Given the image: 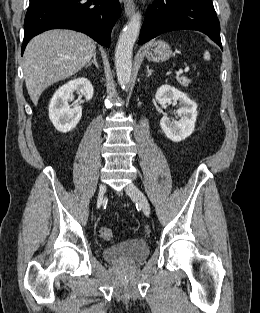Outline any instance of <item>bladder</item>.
<instances>
[{
  "mask_svg": "<svg viewBox=\"0 0 260 313\" xmlns=\"http://www.w3.org/2000/svg\"><path fill=\"white\" fill-rule=\"evenodd\" d=\"M149 255L148 243L140 238H130L105 248L102 257L110 262L135 263Z\"/></svg>",
  "mask_w": 260,
  "mask_h": 313,
  "instance_id": "1",
  "label": "bladder"
}]
</instances>
